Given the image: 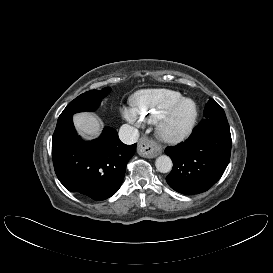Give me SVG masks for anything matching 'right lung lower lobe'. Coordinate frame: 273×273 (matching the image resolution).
Returning <instances> with one entry per match:
<instances>
[{
	"instance_id": "98d812e1",
	"label": "right lung lower lobe",
	"mask_w": 273,
	"mask_h": 273,
	"mask_svg": "<svg viewBox=\"0 0 273 273\" xmlns=\"http://www.w3.org/2000/svg\"><path fill=\"white\" fill-rule=\"evenodd\" d=\"M136 145L122 143L113 128H105L99 138L83 142L76 135L72 117L67 118L57 122L52 137L55 173L67 190L105 200L120 188Z\"/></svg>"
}]
</instances>
